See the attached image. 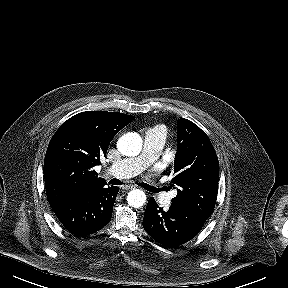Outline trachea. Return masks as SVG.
<instances>
[{
    "label": "trachea",
    "mask_w": 288,
    "mask_h": 288,
    "mask_svg": "<svg viewBox=\"0 0 288 288\" xmlns=\"http://www.w3.org/2000/svg\"><path fill=\"white\" fill-rule=\"evenodd\" d=\"M109 183L112 184V185H121L122 184V182L120 180H118V179H111L109 181ZM138 185L141 186L142 188L146 189L149 192H153L154 193V192L157 191L154 187H152V186H150V185H148L146 183H139Z\"/></svg>",
    "instance_id": "trachea-1"
}]
</instances>
